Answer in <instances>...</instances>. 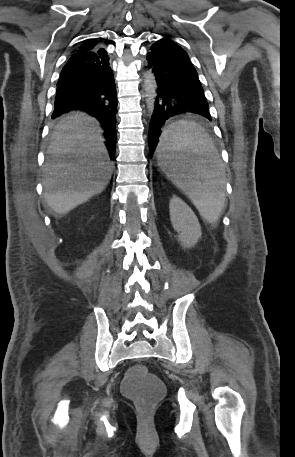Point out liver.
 Masks as SVG:
<instances>
[{"mask_svg": "<svg viewBox=\"0 0 295 457\" xmlns=\"http://www.w3.org/2000/svg\"><path fill=\"white\" fill-rule=\"evenodd\" d=\"M97 120L71 112L58 122L43 169L44 198L58 215H64L100 194L108 185L112 167Z\"/></svg>", "mask_w": 295, "mask_h": 457, "instance_id": "obj_1", "label": "liver"}]
</instances>
